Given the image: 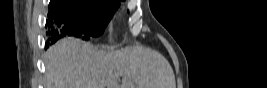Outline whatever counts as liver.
<instances>
[{"instance_id":"6515ba94","label":"liver","mask_w":267,"mask_h":88,"mask_svg":"<svg viewBox=\"0 0 267 88\" xmlns=\"http://www.w3.org/2000/svg\"><path fill=\"white\" fill-rule=\"evenodd\" d=\"M44 63L46 88H176L166 58L143 46L106 52L68 37L44 53Z\"/></svg>"}]
</instances>
